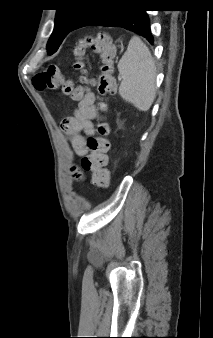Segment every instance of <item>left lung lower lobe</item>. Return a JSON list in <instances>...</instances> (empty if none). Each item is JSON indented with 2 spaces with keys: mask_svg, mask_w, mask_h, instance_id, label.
I'll list each match as a JSON object with an SVG mask.
<instances>
[{
  "mask_svg": "<svg viewBox=\"0 0 213 338\" xmlns=\"http://www.w3.org/2000/svg\"><path fill=\"white\" fill-rule=\"evenodd\" d=\"M110 4L91 8L73 27V30L85 26L121 27L133 31L154 42L150 30V21L145 9H138L131 0H108Z\"/></svg>",
  "mask_w": 213,
  "mask_h": 338,
  "instance_id": "0a47b994",
  "label": "left lung lower lobe"
}]
</instances>
